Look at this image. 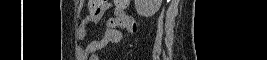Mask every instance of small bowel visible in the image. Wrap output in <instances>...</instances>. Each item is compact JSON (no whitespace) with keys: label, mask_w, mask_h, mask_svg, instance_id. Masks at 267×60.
Wrapping results in <instances>:
<instances>
[{"label":"small bowel","mask_w":267,"mask_h":60,"mask_svg":"<svg viewBox=\"0 0 267 60\" xmlns=\"http://www.w3.org/2000/svg\"><path fill=\"white\" fill-rule=\"evenodd\" d=\"M127 4L124 6H118L116 3L113 4L111 2H107L104 4L103 10L97 15L88 14L85 16L80 24L78 35L81 39H85L88 32V27L98 22L102 15L108 11L112 10L114 15L109 17L106 22V27L104 30L103 35L100 38L92 40L88 43L85 48L83 49V54L85 56H92L95 55L98 51L103 49L108 44H115L119 43L122 40L123 34L119 28L114 26L115 22L122 21L126 23V26L123 29L127 33H132L135 30V22L134 19L128 16L125 12ZM134 26V28H133Z\"/></svg>","instance_id":"obj_1"}]
</instances>
